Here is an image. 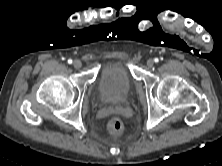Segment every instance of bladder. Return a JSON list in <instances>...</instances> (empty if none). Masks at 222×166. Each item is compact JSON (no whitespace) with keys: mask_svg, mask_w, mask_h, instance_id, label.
<instances>
[{"mask_svg":"<svg viewBox=\"0 0 222 166\" xmlns=\"http://www.w3.org/2000/svg\"><path fill=\"white\" fill-rule=\"evenodd\" d=\"M132 91V78L123 65L103 68L96 79V95L100 102L119 105L127 101Z\"/></svg>","mask_w":222,"mask_h":166,"instance_id":"bladder-1","label":"bladder"}]
</instances>
